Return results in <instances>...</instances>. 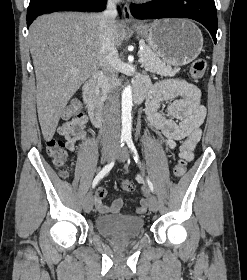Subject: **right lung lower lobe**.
Wrapping results in <instances>:
<instances>
[{
	"instance_id": "right-lung-lower-lobe-1",
	"label": "right lung lower lobe",
	"mask_w": 247,
	"mask_h": 280,
	"mask_svg": "<svg viewBox=\"0 0 247 280\" xmlns=\"http://www.w3.org/2000/svg\"><path fill=\"white\" fill-rule=\"evenodd\" d=\"M107 0H30L27 26L42 14L65 10L102 11Z\"/></svg>"
}]
</instances>
